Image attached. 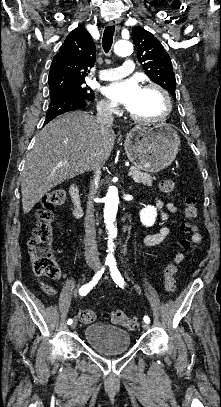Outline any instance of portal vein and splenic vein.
<instances>
[{
  "label": "portal vein and splenic vein",
  "mask_w": 221,
  "mask_h": 407,
  "mask_svg": "<svg viewBox=\"0 0 221 407\" xmlns=\"http://www.w3.org/2000/svg\"><path fill=\"white\" fill-rule=\"evenodd\" d=\"M133 175V172L132 171H129L128 172V176H132Z\"/></svg>",
  "instance_id": "18ae733b"
}]
</instances>
